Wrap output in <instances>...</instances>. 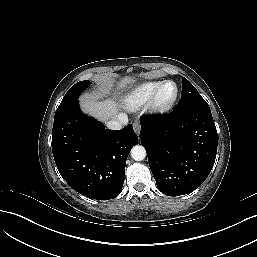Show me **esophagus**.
Instances as JSON below:
<instances>
[{"mask_svg":"<svg viewBox=\"0 0 257 257\" xmlns=\"http://www.w3.org/2000/svg\"><path fill=\"white\" fill-rule=\"evenodd\" d=\"M133 128H134L135 132L138 134L140 132V128H141L140 123L138 121H135L133 123Z\"/></svg>","mask_w":257,"mask_h":257,"instance_id":"esophagus-1","label":"esophagus"}]
</instances>
